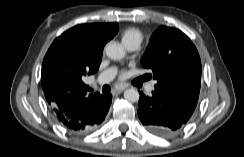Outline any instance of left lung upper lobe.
Segmentation results:
<instances>
[{"instance_id": "obj_1", "label": "left lung upper lobe", "mask_w": 244, "mask_h": 157, "mask_svg": "<svg viewBox=\"0 0 244 157\" xmlns=\"http://www.w3.org/2000/svg\"><path fill=\"white\" fill-rule=\"evenodd\" d=\"M165 96L184 115L193 114L201 86V61L190 38L174 27L160 26L151 36L141 59Z\"/></svg>"}]
</instances>
